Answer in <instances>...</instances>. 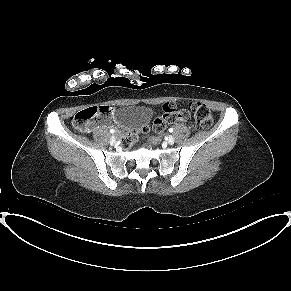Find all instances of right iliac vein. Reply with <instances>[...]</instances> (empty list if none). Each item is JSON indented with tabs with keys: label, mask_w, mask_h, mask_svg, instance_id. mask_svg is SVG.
I'll return each instance as SVG.
<instances>
[{
	"label": "right iliac vein",
	"mask_w": 291,
	"mask_h": 291,
	"mask_svg": "<svg viewBox=\"0 0 291 291\" xmlns=\"http://www.w3.org/2000/svg\"><path fill=\"white\" fill-rule=\"evenodd\" d=\"M110 144L111 145H114L116 143V135H113L111 138H110Z\"/></svg>",
	"instance_id": "1"
}]
</instances>
